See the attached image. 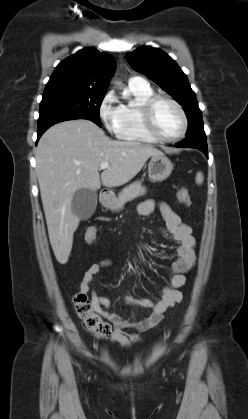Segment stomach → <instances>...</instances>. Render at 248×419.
<instances>
[{"label": "stomach", "mask_w": 248, "mask_h": 419, "mask_svg": "<svg viewBox=\"0 0 248 419\" xmlns=\"http://www.w3.org/2000/svg\"><path fill=\"white\" fill-rule=\"evenodd\" d=\"M173 170V164L164 155H154L148 163V176L153 182H160L168 178ZM107 206H112L114 201L105 202Z\"/></svg>", "instance_id": "1"}]
</instances>
